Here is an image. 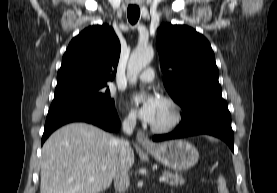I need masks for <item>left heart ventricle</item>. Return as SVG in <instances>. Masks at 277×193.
Instances as JSON below:
<instances>
[{"mask_svg":"<svg viewBox=\"0 0 277 193\" xmlns=\"http://www.w3.org/2000/svg\"><path fill=\"white\" fill-rule=\"evenodd\" d=\"M172 117L171 107L164 101L161 102L156 118L152 124L163 125L169 122Z\"/></svg>","mask_w":277,"mask_h":193,"instance_id":"obj_1","label":"left heart ventricle"}]
</instances>
